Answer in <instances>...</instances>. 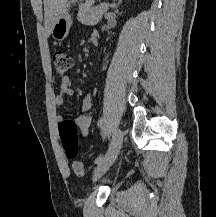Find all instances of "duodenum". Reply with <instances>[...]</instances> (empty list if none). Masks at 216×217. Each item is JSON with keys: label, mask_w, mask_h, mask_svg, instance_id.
<instances>
[{"label": "duodenum", "mask_w": 216, "mask_h": 217, "mask_svg": "<svg viewBox=\"0 0 216 217\" xmlns=\"http://www.w3.org/2000/svg\"><path fill=\"white\" fill-rule=\"evenodd\" d=\"M91 41L94 45H97L99 43V37L97 35H93L91 37Z\"/></svg>", "instance_id": "obj_1"}]
</instances>
